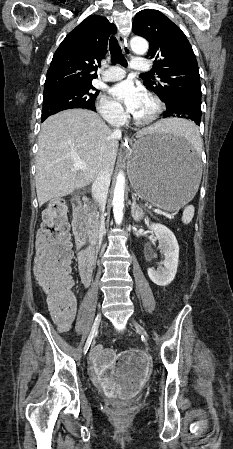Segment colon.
<instances>
[{
    "mask_svg": "<svg viewBox=\"0 0 233 449\" xmlns=\"http://www.w3.org/2000/svg\"><path fill=\"white\" fill-rule=\"evenodd\" d=\"M67 211L64 199L51 201L36 241L35 275L51 310L60 319L68 318L75 308Z\"/></svg>",
    "mask_w": 233,
    "mask_h": 449,
    "instance_id": "5ec220e1",
    "label": "colon"
}]
</instances>
